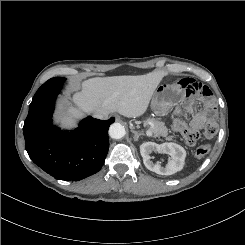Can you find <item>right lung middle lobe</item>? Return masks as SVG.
<instances>
[{"label":"right lung middle lobe","instance_id":"obj_1","mask_svg":"<svg viewBox=\"0 0 245 245\" xmlns=\"http://www.w3.org/2000/svg\"><path fill=\"white\" fill-rule=\"evenodd\" d=\"M55 78H58V79H63V78H61V77H55Z\"/></svg>","mask_w":245,"mask_h":245}]
</instances>
